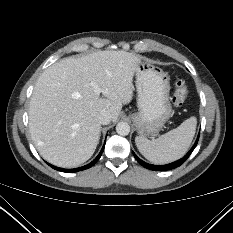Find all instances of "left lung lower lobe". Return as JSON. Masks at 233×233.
<instances>
[{
	"instance_id": "1",
	"label": "left lung lower lobe",
	"mask_w": 233,
	"mask_h": 233,
	"mask_svg": "<svg viewBox=\"0 0 233 233\" xmlns=\"http://www.w3.org/2000/svg\"><path fill=\"white\" fill-rule=\"evenodd\" d=\"M198 139H199V135L197 137V140L195 142V144L193 145V147L190 149V151L181 159H179L178 161H175L173 163H169L166 165H152V164H148L144 161H142L140 158H138V156L133 153L134 157L136 158V160L145 168L149 169V170H156V171H165V170H171V169H175L179 166H181L186 160L187 158L190 156V154L192 153V151L195 149L197 143H198Z\"/></svg>"
}]
</instances>
